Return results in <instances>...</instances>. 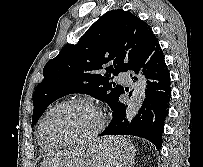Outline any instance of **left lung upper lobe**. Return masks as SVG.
<instances>
[{
	"instance_id": "left-lung-upper-lobe-1",
	"label": "left lung upper lobe",
	"mask_w": 203,
	"mask_h": 167,
	"mask_svg": "<svg viewBox=\"0 0 203 167\" xmlns=\"http://www.w3.org/2000/svg\"><path fill=\"white\" fill-rule=\"evenodd\" d=\"M155 39L150 27L131 12L117 9L105 13L77 44L64 46L46 63L44 79L33 96L31 126L52 102L72 93L88 94L112 109L124 87L111 80L130 70Z\"/></svg>"
}]
</instances>
